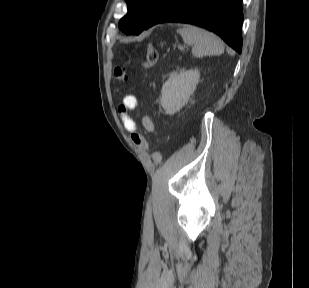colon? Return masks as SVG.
I'll list each match as a JSON object with an SVG mask.
<instances>
[{"instance_id":"colon-1","label":"colon","mask_w":309,"mask_h":288,"mask_svg":"<svg viewBox=\"0 0 309 288\" xmlns=\"http://www.w3.org/2000/svg\"><path fill=\"white\" fill-rule=\"evenodd\" d=\"M157 61H158L157 50L152 46H147L141 64V71H146L153 68L157 63ZM114 76L120 81H126L127 80L126 68L123 66H116L114 69ZM121 111L126 112V109L121 108ZM132 138L134 142L139 146H141L145 151L148 150L145 137L139 131L133 132Z\"/></svg>"}]
</instances>
